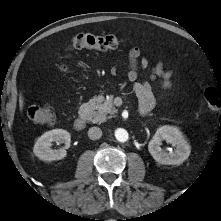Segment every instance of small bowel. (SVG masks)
<instances>
[{
  "mask_svg": "<svg viewBox=\"0 0 221 221\" xmlns=\"http://www.w3.org/2000/svg\"><path fill=\"white\" fill-rule=\"evenodd\" d=\"M128 80L134 84V91L139 99L140 112L145 114L152 110L155 97L147 82H136L139 68L146 69L148 66L147 59L142 55L138 47H134L128 54ZM172 70H166L162 63H157L151 72V79H158L164 88L172 86Z\"/></svg>",
  "mask_w": 221,
  "mask_h": 221,
  "instance_id": "small-bowel-1",
  "label": "small bowel"
}]
</instances>
